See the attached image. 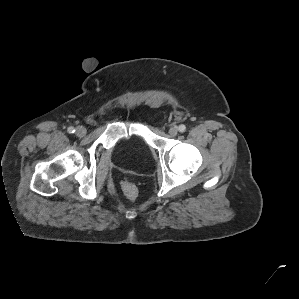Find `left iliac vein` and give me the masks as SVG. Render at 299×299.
<instances>
[{"label":"left iliac vein","instance_id":"left-iliac-vein-1","mask_svg":"<svg viewBox=\"0 0 299 299\" xmlns=\"http://www.w3.org/2000/svg\"><path fill=\"white\" fill-rule=\"evenodd\" d=\"M168 132L172 137H174L177 135L178 129L176 127H171Z\"/></svg>","mask_w":299,"mask_h":299}]
</instances>
